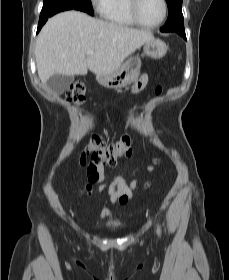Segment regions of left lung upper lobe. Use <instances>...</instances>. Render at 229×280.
<instances>
[{
    "label": "left lung upper lobe",
    "instance_id": "5c2ea615",
    "mask_svg": "<svg viewBox=\"0 0 229 280\" xmlns=\"http://www.w3.org/2000/svg\"><path fill=\"white\" fill-rule=\"evenodd\" d=\"M168 5V19L161 28L162 32H176L184 30L182 14V0H166Z\"/></svg>",
    "mask_w": 229,
    "mask_h": 280
}]
</instances>
